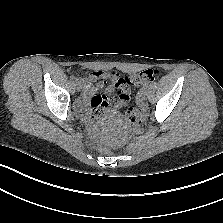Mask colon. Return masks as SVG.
I'll list each match as a JSON object with an SVG mask.
<instances>
[{
    "instance_id": "obj_1",
    "label": "colon",
    "mask_w": 223,
    "mask_h": 223,
    "mask_svg": "<svg viewBox=\"0 0 223 223\" xmlns=\"http://www.w3.org/2000/svg\"><path fill=\"white\" fill-rule=\"evenodd\" d=\"M156 74V70L146 69L129 77H120L118 74L106 73L103 78H92L91 76V79L97 81V85L106 83V80H108L110 85L117 89V100L124 105L129 99L128 92L130 87L139 84H149L154 81ZM145 116L144 108H130L127 112L129 121L135 126L140 125L144 121Z\"/></svg>"
}]
</instances>
